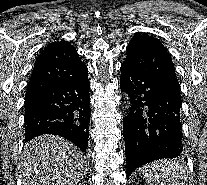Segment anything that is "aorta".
<instances>
[{"mask_svg": "<svg viewBox=\"0 0 207 185\" xmlns=\"http://www.w3.org/2000/svg\"><path fill=\"white\" fill-rule=\"evenodd\" d=\"M130 101H129V96L127 93H124V108H125V113L129 112L130 109Z\"/></svg>", "mask_w": 207, "mask_h": 185, "instance_id": "1", "label": "aorta"}]
</instances>
